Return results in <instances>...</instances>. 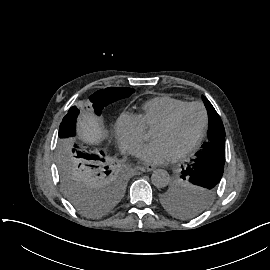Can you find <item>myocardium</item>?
<instances>
[{
	"label": "myocardium",
	"instance_id": "f54148a6",
	"mask_svg": "<svg viewBox=\"0 0 270 270\" xmlns=\"http://www.w3.org/2000/svg\"><path fill=\"white\" fill-rule=\"evenodd\" d=\"M190 108L200 109V111L202 113V123H201L200 131H199L196 139L194 140V142L190 146H188L186 149H184L183 151H181L177 155L178 159H181V158H184V157L190 155L191 153L196 151V149L199 147V145H200V143L205 135L206 127L208 124V114H207L205 107L199 102L188 103L185 106H183L182 108L175 111L168 119H166V120H164L156 125V127L170 128V127L174 126L177 123V121L179 120V118L181 117V115L186 110H188Z\"/></svg>",
	"mask_w": 270,
	"mask_h": 270
}]
</instances>
